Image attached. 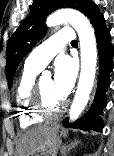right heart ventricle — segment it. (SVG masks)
Returning a JSON list of instances; mask_svg holds the SVG:
<instances>
[{
	"label": "right heart ventricle",
	"mask_w": 114,
	"mask_h": 156,
	"mask_svg": "<svg viewBox=\"0 0 114 156\" xmlns=\"http://www.w3.org/2000/svg\"><path fill=\"white\" fill-rule=\"evenodd\" d=\"M41 69L25 63L15 89L16 112L22 128H27L42 121L32 106V93L36 77Z\"/></svg>",
	"instance_id": "obj_1"
}]
</instances>
